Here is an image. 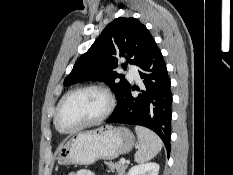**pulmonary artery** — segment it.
Wrapping results in <instances>:
<instances>
[{
  "label": "pulmonary artery",
  "instance_id": "1",
  "mask_svg": "<svg viewBox=\"0 0 233 175\" xmlns=\"http://www.w3.org/2000/svg\"><path fill=\"white\" fill-rule=\"evenodd\" d=\"M129 78L131 80H139V73L136 68L129 67Z\"/></svg>",
  "mask_w": 233,
  "mask_h": 175
}]
</instances>
